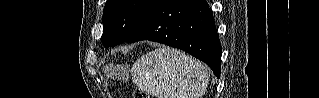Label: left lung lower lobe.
Returning a JSON list of instances; mask_svg holds the SVG:
<instances>
[{
	"mask_svg": "<svg viewBox=\"0 0 319 98\" xmlns=\"http://www.w3.org/2000/svg\"><path fill=\"white\" fill-rule=\"evenodd\" d=\"M141 40L184 50L207 63L220 78L221 45L205 0H158L126 42Z\"/></svg>",
	"mask_w": 319,
	"mask_h": 98,
	"instance_id": "1",
	"label": "left lung lower lobe"
}]
</instances>
